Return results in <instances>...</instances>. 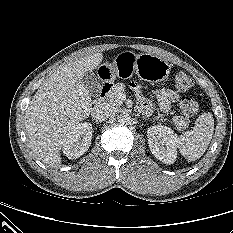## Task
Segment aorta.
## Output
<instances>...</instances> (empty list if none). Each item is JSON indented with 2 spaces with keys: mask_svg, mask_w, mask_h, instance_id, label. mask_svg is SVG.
Listing matches in <instances>:
<instances>
[{
  "mask_svg": "<svg viewBox=\"0 0 233 233\" xmlns=\"http://www.w3.org/2000/svg\"><path fill=\"white\" fill-rule=\"evenodd\" d=\"M117 119L118 122L123 125H128L131 122V116L126 112L119 114Z\"/></svg>",
  "mask_w": 233,
  "mask_h": 233,
  "instance_id": "aorta-1",
  "label": "aorta"
}]
</instances>
